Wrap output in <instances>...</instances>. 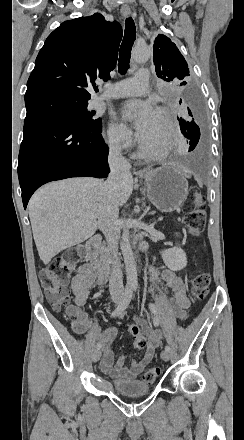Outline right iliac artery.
I'll use <instances>...</instances> for the list:
<instances>
[{
    "label": "right iliac artery",
    "instance_id": "82829eb1",
    "mask_svg": "<svg viewBox=\"0 0 244 440\" xmlns=\"http://www.w3.org/2000/svg\"><path fill=\"white\" fill-rule=\"evenodd\" d=\"M133 296V290L132 287H126L124 297L122 302L115 308V310L112 312L111 317H116L122 314V312L127 308L129 305L131 299ZM101 348V344L98 343L96 345V349L99 350Z\"/></svg>",
    "mask_w": 244,
    "mask_h": 440
}]
</instances>
